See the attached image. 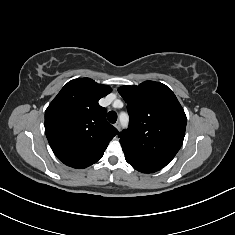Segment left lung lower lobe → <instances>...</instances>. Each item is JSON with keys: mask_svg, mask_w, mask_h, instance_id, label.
<instances>
[{"mask_svg": "<svg viewBox=\"0 0 235 235\" xmlns=\"http://www.w3.org/2000/svg\"><path fill=\"white\" fill-rule=\"evenodd\" d=\"M125 159L136 170L143 172V173H153L163 168L161 166L150 164L142 160H139L137 158L128 157L126 155H125Z\"/></svg>", "mask_w": 235, "mask_h": 235, "instance_id": "obj_1", "label": "left lung lower lobe"}]
</instances>
